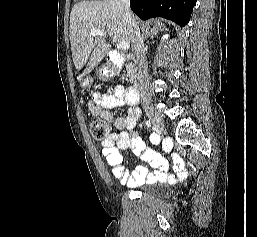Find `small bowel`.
<instances>
[{"label": "small bowel", "mask_w": 257, "mask_h": 237, "mask_svg": "<svg viewBox=\"0 0 257 237\" xmlns=\"http://www.w3.org/2000/svg\"><path fill=\"white\" fill-rule=\"evenodd\" d=\"M127 105L126 115L114 116L110 110ZM88 108L92 115L99 116L105 121L111 122L116 132L102 144L101 153L106 158L111 174L124 186H136L144 183L170 182L183 179L187 175L183 161L176 157L174 159V173H168L167 160L156 151L146 147L138 137L135 125L138 122L141 110L129 104L123 86L117 85L110 94L96 93L88 102ZM156 143L158 138L152 137ZM168 148V147H166ZM132 149L142 160L148 162L155 172H148L143 165H138L132 172L125 169L120 150Z\"/></svg>", "instance_id": "c3829d8e"}]
</instances>
